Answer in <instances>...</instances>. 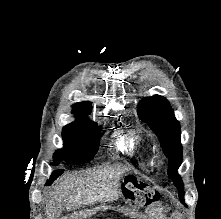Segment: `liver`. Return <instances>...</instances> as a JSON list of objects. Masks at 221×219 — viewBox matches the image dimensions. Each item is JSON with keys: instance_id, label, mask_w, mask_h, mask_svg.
Returning <instances> with one entry per match:
<instances>
[{"instance_id": "1", "label": "liver", "mask_w": 221, "mask_h": 219, "mask_svg": "<svg viewBox=\"0 0 221 219\" xmlns=\"http://www.w3.org/2000/svg\"><path fill=\"white\" fill-rule=\"evenodd\" d=\"M128 170L119 165L78 175L67 174L50 192L46 203V219H56L62 212V205L71 210L82 205L115 200L120 194V177Z\"/></svg>"}]
</instances>
